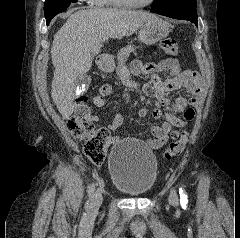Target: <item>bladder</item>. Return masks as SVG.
<instances>
[{
    "label": "bladder",
    "instance_id": "1",
    "mask_svg": "<svg viewBox=\"0 0 240 238\" xmlns=\"http://www.w3.org/2000/svg\"><path fill=\"white\" fill-rule=\"evenodd\" d=\"M108 170L112 185L130 196H143L154 186L158 163L153 151L136 139H125L110 150Z\"/></svg>",
    "mask_w": 240,
    "mask_h": 238
}]
</instances>
